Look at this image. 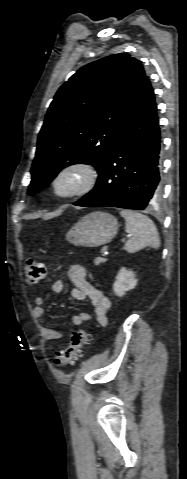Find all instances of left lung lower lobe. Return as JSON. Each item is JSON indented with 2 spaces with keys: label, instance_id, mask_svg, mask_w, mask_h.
I'll return each instance as SVG.
<instances>
[{
  "label": "left lung lower lobe",
  "instance_id": "1",
  "mask_svg": "<svg viewBox=\"0 0 187 479\" xmlns=\"http://www.w3.org/2000/svg\"><path fill=\"white\" fill-rule=\"evenodd\" d=\"M160 134L154 92L146 76L115 147L98 171L95 188L74 205L148 207L161 191Z\"/></svg>",
  "mask_w": 187,
  "mask_h": 479
}]
</instances>
